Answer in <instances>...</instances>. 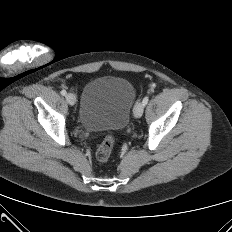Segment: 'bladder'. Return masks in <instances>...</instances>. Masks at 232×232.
Instances as JSON below:
<instances>
[{
    "instance_id": "1",
    "label": "bladder",
    "mask_w": 232,
    "mask_h": 232,
    "mask_svg": "<svg viewBox=\"0 0 232 232\" xmlns=\"http://www.w3.org/2000/svg\"><path fill=\"white\" fill-rule=\"evenodd\" d=\"M135 90L122 77L102 76L91 79L83 88L79 121L90 131L121 130L128 123Z\"/></svg>"
}]
</instances>
